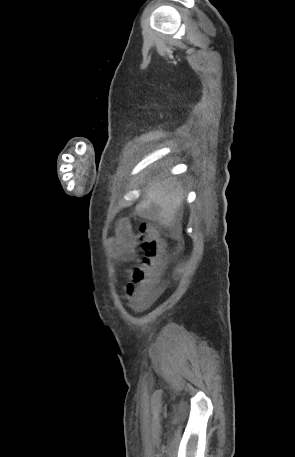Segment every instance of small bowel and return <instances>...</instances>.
I'll list each match as a JSON object with an SVG mask.
<instances>
[{"label":"small bowel","instance_id":"1","mask_svg":"<svg viewBox=\"0 0 295 457\" xmlns=\"http://www.w3.org/2000/svg\"><path fill=\"white\" fill-rule=\"evenodd\" d=\"M138 240L132 230L131 224L127 219H121L116 226L115 235L110 240V246L114 255L121 260L129 261L135 255V248ZM164 291L163 284H152L144 300L138 304L137 307H145L150 304L157 296Z\"/></svg>","mask_w":295,"mask_h":457}]
</instances>
